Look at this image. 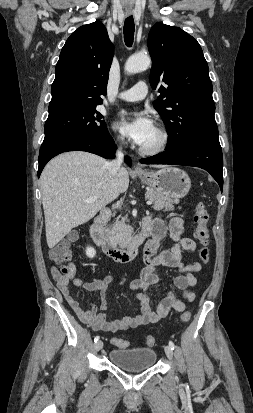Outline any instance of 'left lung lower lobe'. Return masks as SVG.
<instances>
[{
  "label": "left lung lower lobe",
  "mask_w": 253,
  "mask_h": 413,
  "mask_svg": "<svg viewBox=\"0 0 253 413\" xmlns=\"http://www.w3.org/2000/svg\"><path fill=\"white\" fill-rule=\"evenodd\" d=\"M144 164H174L194 166L205 169L223 188V157L219 142L199 140L188 143L176 149L144 158L140 160Z\"/></svg>",
  "instance_id": "left-lung-lower-lobe-1"
}]
</instances>
